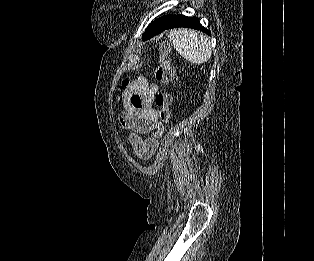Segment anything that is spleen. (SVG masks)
I'll return each mask as SVG.
<instances>
[{
  "label": "spleen",
  "instance_id": "3e777b00",
  "mask_svg": "<svg viewBox=\"0 0 314 261\" xmlns=\"http://www.w3.org/2000/svg\"><path fill=\"white\" fill-rule=\"evenodd\" d=\"M168 37L174 49L190 63H205L212 55L210 41L201 33L185 29L173 30Z\"/></svg>",
  "mask_w": 314,
  "mask_h": 261
}]
</instances>
